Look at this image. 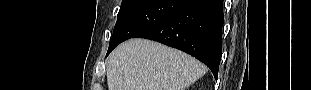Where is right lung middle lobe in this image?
I'll return each mask as SVG.
<instances>
[{"label": "right lung middle lobe", "mask_w": 311, "mask_h": 90, "mask_svg": "<svg viewBox=\"0 0 311 90\" xmlns=\"http://www.w3.org/2000/svg\"><path fill=\"white\" fill-rule=\"evenodd\" d=\"M187 0H123L108 53L119 43L160 23Z\"/></svg>", "instance_id": "1"}]
</instances>
